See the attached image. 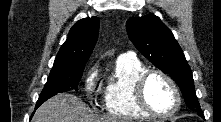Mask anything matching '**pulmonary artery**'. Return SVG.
Returning <instances> with one entry per match:
<instances>
[{
  "instance_id": "1",
  "label": "pulmonary artery",
  "mask_w": 221,
  "mask_h": 122,
  "mask_svg": "<svg viewBox=\"0 0 221 122\" xmlns=\"http://www.w3.org/2000/svg\"><path fill=\"white\" fill-rule=\"evenodd\" d=\"M119 57L121 58H128V59H136V56L133 52H126L121 54Z\"/></svg>"
}]
</instances>
